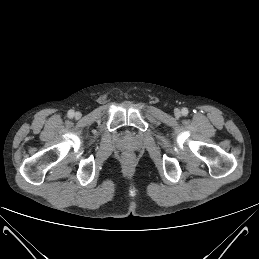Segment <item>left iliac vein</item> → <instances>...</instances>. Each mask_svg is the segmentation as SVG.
Instances as JSON below:
<instances>
[{"label":"left iliac vein","instance_id":"4c4485c4","mask_svg":"<svg viewBox=\"0 0 259 259\" xmlns=\"http://www.w3.org/2000/svg\"><path fill=\"white\" fill-rule=\"evenodd\" d=\"M174 114H175L176 117H180L181 111L179 109H175Z\"/></svg>","mask_w":259,"mask_h":259}]
</instances>
